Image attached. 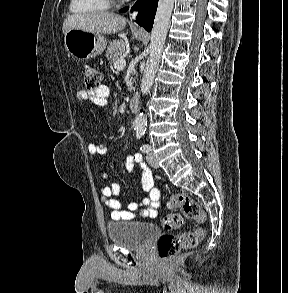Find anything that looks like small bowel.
Here are the masks:
<instances>
[{"instance_id":"1","label":"small bowel","mask_w":288,"mask_h":293,"mask_svg":"<svg viewBox=\"0 0 288 293\" xmlns=\"http://www.w3.org/2000/svg\"><path fill=\"white\" fill-rule=\"evenodd\" d=\"M77 97L81 102H90L98 107L109 106V88L102 85L97 91L79 90ZM88 151L91 155L104 156L108 154L109 147L106 144L90 143ZM135 164H138L142 169L141 185L147 196L139 201H132L124 207L115 197L120 192V186L116 183L108 184L102 188V197L104 204L112 210L111 218L113 220H131L137 215L140 217L155 218L158 214L159 201L161 193L155 186L151 171L143 162L142 156L139 153H131L126 160V169L132 172ZM101 178L107 181L108 175L106 172L101 173Z\"/></svg>"}]
</instances>
